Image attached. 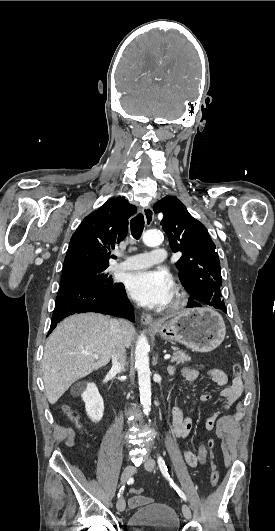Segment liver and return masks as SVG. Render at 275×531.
<instances>
[{
  "mask_svg": "<svg viewBox=\"0 0 275 531\" xmlns=\"http://www.w3.org/2000/svg\"><path fill=\"white\" fill-rule=\"evenodd\" d=\"M109 317L98 313H81L64 319L46 341L42 373L46 397L55 405L69 387L93 371L108 365L112 355ZM125 347H130L134 329L120 319ZM98 355L93 359L90 355Z\"/></svg>",
  "mask_w": 275,
  "mask_h": 531,
  "instance_id": "obj_1",
  "label": "liver"
}]
</instances>
